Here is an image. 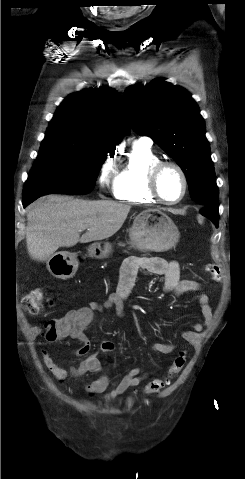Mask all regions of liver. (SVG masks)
<instances>
[{
	"label": "liver",
	"mask_w": 245,
	"mask_h": 479,
	"mask_svg": "<svg viewBox=\"0 0 245 479\" xmlns=\"http://www.w3.org/2000/svg\"><path fill=\"white\" fill-rule=\"evenodd\" d=\"M130 209V205L115 201L43 197L27 213L28 253L42 262L60 247L109 238L122 227ZM84 229L87 232L80 237Z\"/></svg>",
	"instance_id": "obj_1"
}]
</instances>
